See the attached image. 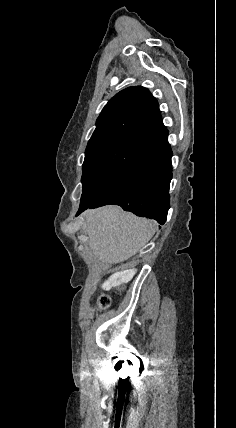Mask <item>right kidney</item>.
I'll use <instances>...</instances> for the list:
<instances>
[{"label":"right kidney","mask_w":236,"mask_h":428,"mask_svg":"<svg viewBox=\"0 0 236 428\" xmlns=\"http://www.w3.org/2000/svg\"><path fill=\"white\" fill-rule=\"evenodd\" d=\"M135 274L136 270H124V272H119V274H116L115 270H110V277H107L105 282L107 286H118L119 292H126L128 285L123 282H130Z\"/></svg>","instance_id":"ca27d5eb"}]
</instances>
